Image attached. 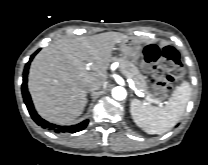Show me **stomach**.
<instances>
[{"mask_svg": "<svg viewBox=\"0 0 208 165\" xmlns=\"http://www.w3.org/2000/svg\"><path fill=\"white\" fill-rule=\"evenodd\" d=\"M120 51L125 59L133 63H136L141 56L140 45L129 39L120 42Z\"/></svg>", "mask_w": 208, "mask_h": 165, "instance_id": "stomach-1", "label": "stomach"}]
</instances>
